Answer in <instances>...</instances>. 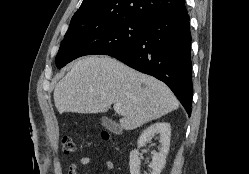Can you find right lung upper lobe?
Returning a JSON list of instances; mask_svg holds the SVG:
<instances>
[{
	"instance_id": "right-lung-upper-lobe-1",
	"label": "right lung upper lobe",
	"mask_w": 249,
	"mask_h": 174,
	"mask_svg": "<svg viewBox=\"0 0 249 174\" xmlns=\"http://www.w3.org/2000/svg\"><path fill=\"white\" fill-rule=\"evenodd\" d=\"M183 9L184 0H83L68 31L126 18L146 21L156 15Z\"/></svg>"
}]
</instances>
